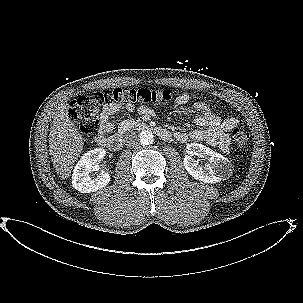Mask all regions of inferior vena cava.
Wrapping results in <instances>:
<instances>
[{
	"mask_svg": "<svg viewBox=\"0 0 303 303\" xmlns=\"http://www.w3.org/2000/svg\"><path fill=\"white\" fill-rule=\"evenodd\" d=\"M125 145L128 147H135L138 144V137L134 132L125 135Z\"/></svg>",
	"mask_w": 303,
	"mask_h": 303,
	"instance_id": "1",
	"label": "inferior vena cava"
}]
</instances>
